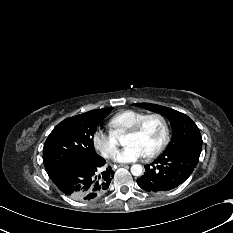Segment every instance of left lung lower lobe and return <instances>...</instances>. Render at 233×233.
<instances>
[{
  "label": "left lung lower lobe",
  "instance_id": "0a47b994",
  "mask_svg": "<svg viewBox=\"0 0 233 233\" xmlns=\"http://www.w3.org/2000/svg\"><path fill=\"white\" fill-rule=\"evenodd\" d=\"M199 156L188 151H164L152 164L145 165V173L137 183L147 192L172 190L188 179Z\"/></svg>",
  "mask_w": 233,
  "mask_h": 233
}]
</instances>
